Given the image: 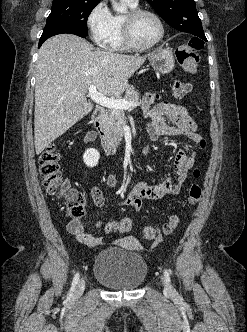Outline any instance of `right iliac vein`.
I'll return each instance as SVG.
<instances>
[{
    "label": "right iliac vein",
    "mask_w": 247,
    "mask_h": 332,
    "mask_svg": "<svg viewBox=\"0 0 247 332\" xmlns=\"http://www.w3.org/2000/svg\"><path fill=\"white\" fill-rule=\"evenodd\" d=\"M84 289H85V280L84 278H81L75 287L74 296H80L83 293Z\"/></svg>",
    "instance_id": "obj_1"
}]
</instances>
